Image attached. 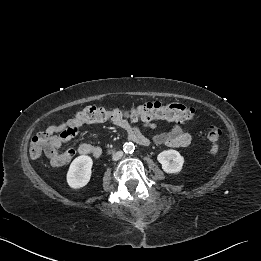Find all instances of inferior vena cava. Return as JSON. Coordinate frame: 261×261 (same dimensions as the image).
Listing matches in <instances>:
<instances>
[{
    "instance_id": "obj_1",
    "label": "inferior vena cava",
    "mask_w": 261,
    "mask_h": 261,
    "mask_svg": "<svg viewBox=\"0 0 261 261\" xmlns=\"http://www.w3.org/2000/svg\"><path fill=\"white\" fill-rule=\"evenodd\" d=\"M122 156H123V152L122 151H118V152L113 154L112 160L113 161H118L119 159L122 158Z\"/></svg>"
}]
</instances>
